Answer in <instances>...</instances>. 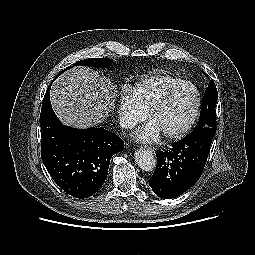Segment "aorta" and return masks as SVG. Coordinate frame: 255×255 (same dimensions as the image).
I'll use <instances>...</instances> for the list:
<instances>
[{"instance_id":"762f6f07","label":"aorta","mask_w":255,"mask_h":255,"mask_svg":"<svg viewBox=\"0 0 255 255\" xmlns=\"http://www.w3.org/2000/svg\"><path fill=\"white\" fill-rule=\"evenodd\" d=\"M137 165L144 171H153L156 167V160L153 154L147 150H137L134 154Z\"/></svg>"}]
</instances>
